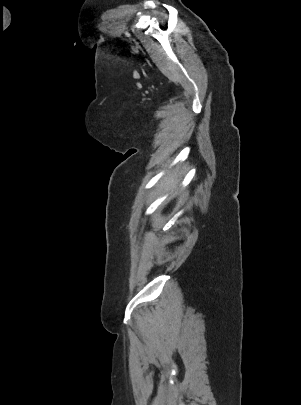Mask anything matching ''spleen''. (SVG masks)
<instances>
[{
  "mask_svg": "<svg viewBox=\"0 0 301 405\" xmlns=\"http://www.w3.org/2000/svg\"><path fill=\"white\" fill-rule=\"evenodd\" d=\"M169 178H170V177H167V178L165 179L164 184L169 185Z\"/></svg>",
  "mask_w": 301,
  "mask_h": 405,
  "instance_id": "3e777b00",
  "label": "spleen"
}]
</instances>
